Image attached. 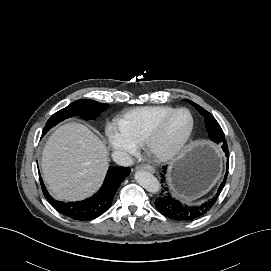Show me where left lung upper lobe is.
<instances>
[{"instance_id": "obj_1", "label": "left lung upper lobe", "mask_w": 271, "mask_h": 271, "mask_svg": "<svg viewBox=\"0 0 271 271\" xmlns=\"http://www.w3.org/2000/svg\"><path fill=\"white\" fill-rule=\"evenodd\" d=\"M190 103L205 117L206 129L210 139L217 144H222L225 141V136L216 119L201 106L192 101Z\"/></svg>"}]
</instances>
